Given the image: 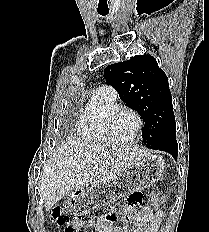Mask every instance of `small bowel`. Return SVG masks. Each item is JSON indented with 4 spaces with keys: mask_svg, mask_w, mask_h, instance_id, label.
Instances as JSON below:
<instances>
[{
    "mask_svg": "<svg viewBox=\"0 0 209 232\" xmlns=\"http://www.w3.org/2000/svg\"><path fill=\"white\" fill-rule=\"evenodd\" d=\"M145 198L144 190H131L130 194H127L125 213H138L137 224L134 227H112L108 225V219L101 218L94 222L97 232H157L164 212L151 206H145L138 212ZM88 226L87 222H83L81 232H87Z\"/></svg>",
    "mask_w": 209,
    "mask_h": 232,
    "instance_id": "c3829d8e",
    "label": "small bowel"
}]
</instances>
